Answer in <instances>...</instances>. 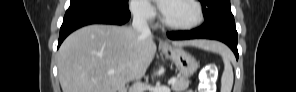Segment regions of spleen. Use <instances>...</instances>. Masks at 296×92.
I'll use <instances>...</instances> for the list:
<instances>
[{
    "instance_id": "obj_1",
    "label": "spleen",
    "mask_w": 296,
    "mask_h": 92,
    "mask_svg": "<svg viewBox=\"0 0 296 92\" xmlns=\"http://www.w3.org/2000/svg\"><path fill=\"white\" fill-rule=\"evenodd\" d=\"M214 51H217L223 59L224 71L221 77V92H231L233 86V69L231 65L232 55L222 44L214 42Z\"/></svg>"
}]
</instances>
